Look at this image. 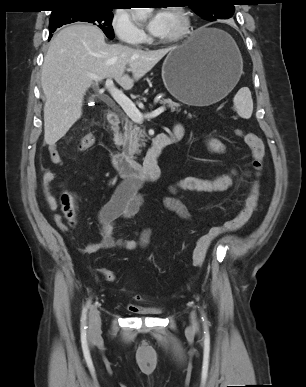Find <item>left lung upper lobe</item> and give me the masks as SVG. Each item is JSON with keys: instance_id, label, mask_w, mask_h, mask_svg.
<instances>
[{"instance_id": "left-lung-upper-lobe-1", "label": "left lung upper lobe", "mask_w": 306, "mask_h": 387, "mask_svg": "<svg viewBox=\"0 0 306 387\" xmlns=\"http://www.w3.org/2000/svg\"><path fill=\"white\" fill-rule=\"evenodd\" d=\"M233 0H188V6L202 18L209 21L229 19L235 7Z\"/></svg>"}]
</instances>
